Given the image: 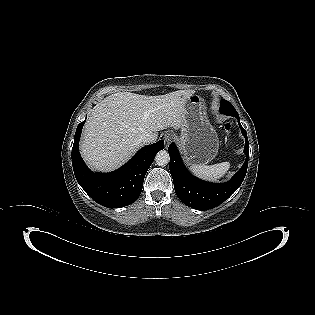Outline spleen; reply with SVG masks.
I'll use <instances>...</instances> for the list:
<instances>
[{
	"label": "spleen",
	"instance_id": "spleen-1",
	"mask_svg": "<svg viewBox=\"0 0 315 315\" xmlns=\"http://www.w3.org/2000/svg\"><path fill=\"white\" fill-rule=\"evenodd\" d=\"M229 168V162H222L213 165L192 164L190 166V170L196 176L209 181H216L217 179L223 177Z\"/></svg>",
	"mask_w": 315,
	"mask_h": 315
}]
</instances>
